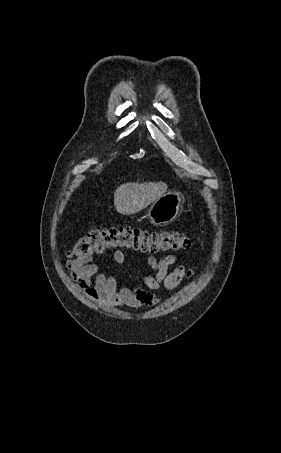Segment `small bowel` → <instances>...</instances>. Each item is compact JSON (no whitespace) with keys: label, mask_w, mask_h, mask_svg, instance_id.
<instances>
[{"label":"small bowel","mask_w":281,"mask_h":453,"mask_svg":"<svg viewBox=\"0 0 281 453\" xmlns=\"http://www.w3.org/2000/svg\"><path fill=\"white\" fill-rule=\"evenodd\" d=\"M114 260L122 264L125 262V256L121 251H117ZM147 262L153 271V275L145 279L149 290L174 289L195 274L193 269H186L180 265L179 258L175 255H167L161 260L148 256ZM170 266H174L175 269L169 271ZM67 269L78 289L102 306L141 308L153 306L161 301V298L153 292L120 286L113 276L100 272L95 264L83 262L79 258L68 261Z\"/></svg>","instance_id":"1"}]
</instances>
